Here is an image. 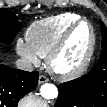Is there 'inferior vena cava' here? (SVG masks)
<instances>
[{
	"mask_svg": "<svg viewBox=\"0 0 107 107\" xmlns=\"http://www.w3.org/2000/svg\"><path fill=\"white\" fill-rule=\"evenodd\" d=\"M16 67L20 70H24V71H28V72H31L33 71L34 67L33 65L31 64V62H29L28 60L26 59H18L16 61Z\"/></svg>",
	"mask_w": 107,
	"mask_h": 107,
	"instance_id": "obj_1",
	"label": "inferior vena cava"
}]
</instances>
